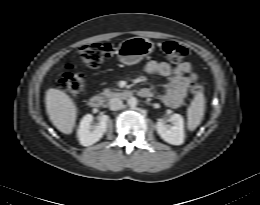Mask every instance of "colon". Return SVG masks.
Segmentation results:
<instances>
[{
	"label": "colon",
	"instance_id": "1",
	"mask_svg": "<svg viewBox=\"0 0 260 205\" xmlns=\"http://www.w3.org/2000/svg\"><path fill=\"white\" fill-rule=\"evenodd\" d=\"M163 51L167 58L173 62H181L187 56V49L174 41H166ZM75 57L89 68H97L111 57V46L106 42H95L79 47L75 51ZM84 75L76 71L72 65H67L59 80V87L73 97L81 94L84 86ZM190 91L194 95H203L206 91L204 84L192 82Z\"/></svg>",
	"mask_w": 260,
	"mask_h": 205
}]
</instances>
